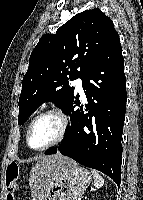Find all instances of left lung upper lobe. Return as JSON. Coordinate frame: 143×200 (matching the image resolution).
Returning <instances> with one entry per match:
<instances>
[{"label":"left lung upper lobe","mask_w":143,"mask_h":200,"mask_svg":"<svg viewBox=\"0 0 143 200\" xmlns=\"http://www.w3.org/2000/svg\"><path fill=\"white\" fill-rule=\"evenodd\" d=\"M117 35L112 20L99 9L81 12L56 34L43 35L22 81L18 123L48 101L69 115L75 97L69 80L81 78Z\"/></svg>","instance_id":"left-lung-upper-lobe-1"}]
</instances>
